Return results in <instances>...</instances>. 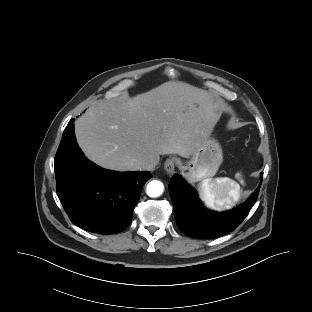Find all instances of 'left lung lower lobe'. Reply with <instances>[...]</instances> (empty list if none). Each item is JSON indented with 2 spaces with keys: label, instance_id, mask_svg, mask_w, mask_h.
<instances>
[{
  "label": "left lung lower lobe",
  "instance_id": "1",
  "mask_svg": "<svg viewBox=\"0 0 312 312\" xmlns=\"http://www.w3.org/2000/svg\"><path fill=\"white\" fill-rule=\"evenodd\" d=\"M262 177L263 173L261 180ZM259 189L260 186L240 206L225 212H214L203 206L196 191L178 174L173 176L169 184L177 226L185 235L196 238H216L233 231L253 207Z\"/></svg>",
  "mask_w": 312,
  "mask_h": 312
}]
</instances>
